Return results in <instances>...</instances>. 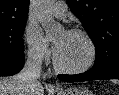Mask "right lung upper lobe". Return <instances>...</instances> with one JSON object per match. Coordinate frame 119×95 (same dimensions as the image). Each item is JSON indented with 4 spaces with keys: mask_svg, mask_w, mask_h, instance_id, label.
Segmentation results:
<instances>
[{
    "mask_svg": "<svg viewBox=\"0 0 119 95\" xmlns=\"http://www.w3.org/2000/svg\"><path fill=\"white\" fill-rule=\"evenodd\" d=\"M29 0H0V25L27 20Z\"/></svg>",
    "mask_w": 119,
    "mask_h": 95,
    "instance_id": "right-lung-upper-lobe-1",
    "label": "right lung upper lobe"
}]
</instances>
